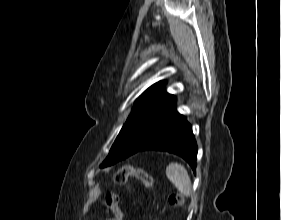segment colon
<instances>
[{
	"mask_svg": "<svg viewBox=\"0 0 281 220\" xmlns=\"http://www.w3.org/2000/svg\"><path fill=\"white\" fill-rule=\"evenodd\" d=\"M135 177L140 180L146 187L152 186L151 176L140 167L133 165H126L120 168L113 177L116 186H124L128 183L129 177ZM120 197L114 191H109L105 197L107 207L112 211L113 218L111 220H123V213L119 207ZM169 203L173 206H181L183 204V197L181 194L173 193L169 196Z\"/></svg>",
	"mask_w": 281,
	"mask_h": 220,
	"instance_id": "5ec220e1",
	"label": "colon"
}]
</instances>
